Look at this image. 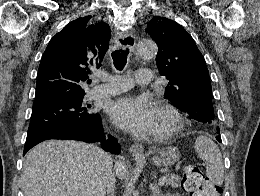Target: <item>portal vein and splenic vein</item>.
Returning <instances> with one entry per match:
<instances>
[{"label": "portal vein and splenic vein", "instance_id": "18ae733b", "mask_svg": "<svg viewBox=\"0 0 260 196\" xmlns=\"http://www.w3.org/2000/svg\"><path fill=\"white\" fill-rule=\"evenodd\" d=\"M166 180H167L166 176L162 175L160 179V185H163V183L166 182Z\"/></svg>", "mask_w": 260, "mask_h": 196}]
</instances>
